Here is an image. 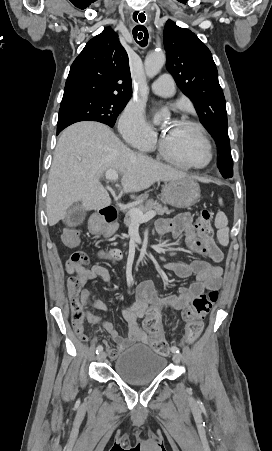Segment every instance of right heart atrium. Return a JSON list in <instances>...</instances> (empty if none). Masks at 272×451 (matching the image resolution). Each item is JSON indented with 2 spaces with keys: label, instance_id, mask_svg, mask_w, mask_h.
Wrapping results in <instances>:
<instances>
[{
  "label": "right heart atrium",
  "instance_id": "1",
  "mask_svg": "<svg viewBox=\"0 0 272 451\" xmlns=\"http://www.w3.org/2000/svg\"><path fill=\"white\" fill-rule=\"evenodd\" d=\"M119 125L125 140L135 148L146 149L156 138L154 129L146 121L143 109L137 105L127 106Z\"/></svg>",
  "mask_w": 272,
  "mask_h": 451
}]
</instances>
